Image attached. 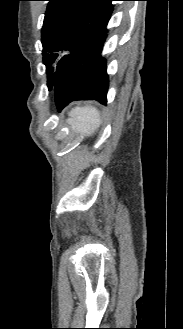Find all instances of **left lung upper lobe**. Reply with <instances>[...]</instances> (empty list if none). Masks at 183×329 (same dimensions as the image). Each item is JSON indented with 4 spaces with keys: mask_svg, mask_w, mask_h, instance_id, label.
<instances>
[{
    "mask_svg": "<svg viewBox=\"0 0 183 329\" xmlns=\"http://www.w3.org/2000/svg\"><path fill=\"white\" fill-rule=\"evenodd\" d=\"M43 27V63L48 74V88L87 33L113 10L115 0H47ZM63 51L67 54L61 58ZM58 62V63H57ZM57 63L56 69L53 65Z\"/></svg>",
    "mask_w": 183,
    "mask_h": 329,
    "instance_id": "left-lung-upper-lobe-1",
    "label": "left lung upper lobe"
}]
</instances>
